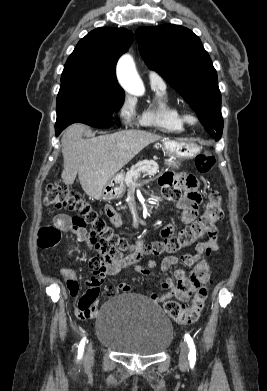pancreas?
Listing matches in <instances>:
<instances>
[{
    "label": "pancreas",
    "instance_id": "obj_1",
    "mask_svg": "<svg viewBox=\"0 0 267 391\" xmlns=\"http://www.w3.org/2000/svg\"><path fill=\"white\" fill-rule=\"evenodd\" d=\"M140 172H144L150 176H154L159 172L158 164L153 160H143L139 161L137 164L131 167V169L126 173L124 177V182L126 186H132L136 183V177Z\"/></svg>",
    "mask_w": 267,
    "mask_h": 391
}]
</instances>
